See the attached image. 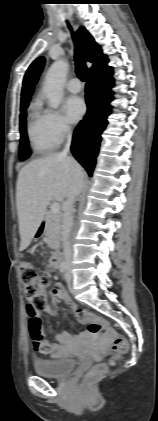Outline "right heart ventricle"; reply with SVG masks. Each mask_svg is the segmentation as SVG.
Masks as SVG:
<instances>
[{
    "instance_id": "1",
    "label": "right heart ventricle",
    "mask_w": 158,
    "mask_h": 421,
    "mask_svg": "<svg viewBox=\"0 0 158 421\" xmlns=\"http://www.w3.org/2000/svg\"><path fill=\"white\" fill-rule=\"evenodd\" d=\"M27 135L30 145L36 153L50 152L57 145L49 134L46 114L38 105H34L30 112Z\"/></svg>"
}]
</instances>
